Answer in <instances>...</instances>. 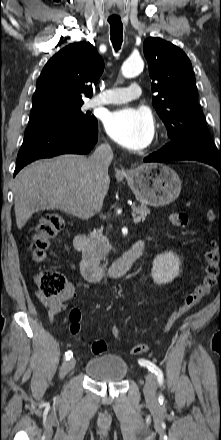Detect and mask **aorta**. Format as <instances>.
Wrapping results in <instances>:
<instances>
[{
    "instance_id": "aorta-1",
    "label": "aorta",
    "mask_w": 221,
    "mask_h": 440,
    "mask_svg": "<svg viewBox=\"0 0 221 440\" xmlns=\"http://www.w3.org/2000/svg\"><path fill=\"white\" fill-rule=\"evenodd\" d=\"M144 67V62L141 58H129L122 66V74L126 78H133L139 75Z\"/></svg>"
}]
</instances>
